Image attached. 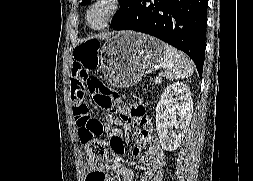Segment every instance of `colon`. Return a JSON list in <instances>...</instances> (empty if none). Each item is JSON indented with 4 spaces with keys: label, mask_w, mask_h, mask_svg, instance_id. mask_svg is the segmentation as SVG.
Listing matches in <instances>:
<instances>
[{
    "label": "colon",
    "mask_w": 253,
    "mask_h": 181,
    "mask_svg": "<svg viewBox=\"0 0 253 181\" xmlns=\"http://www.w3.org/2000/svg\"><path fill=\"white\" fill-rule=\"evenodd\" d=\"M96 49H101V41H98L97 38L82 41V44H79V48L73 53L75 61L88 68H93L95 60H99V50ZM75 100L78 136L86 150L88 163L92 167H102L107 160V149L102 140L104 124L93 114L92 109L98 108L106 112H113L117 96L98 78L90 77L86 91Z\"/></svg>",
    "instance_id": "obj_1"
}]
</instances>
